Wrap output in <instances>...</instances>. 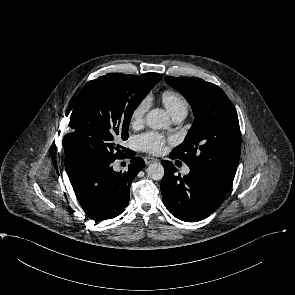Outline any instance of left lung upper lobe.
I'll use <instances>...</instances> for the list:
<instances>
[{
    "instance_id": "5c2ea615",
    "label": "left lung upper lobe",
    "mask_w": 295,
    "mask_h": 295,
    "mask_svg": "<svg viewBox=\"0 0 295 295\" xmlns=\"http://www.w3.org/2000/svg\"><path fill=\"white\" fill-rule=\"evenodd\" d=\"M191 104L195 116L183 143L170 155L230 190L241 151L237 112L221 88L195 77H166Z\"/></svg>"
}]
</instances>
